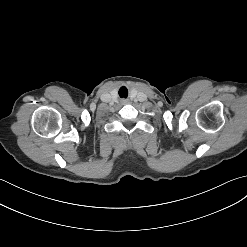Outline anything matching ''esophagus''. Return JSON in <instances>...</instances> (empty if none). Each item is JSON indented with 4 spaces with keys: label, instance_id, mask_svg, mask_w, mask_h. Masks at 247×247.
I'll use <instances>...</instances> for the list:
<instances>
[{
    "label": "esophagus",
    "instance_id": "34e87169",
    "mask_svg": "<svg viewBox=\"0 0 247 247\" xmlns=\"http://www.w3.org/2000/svg\"><path fill=\"white\" fill-rule=\"evenodd\" d=\"M122 102H123V103H125L126 101H125V100H123Z\"/></svg>",
    "mask_w": 247,
    "mask_h": 247
}]
</instances>
